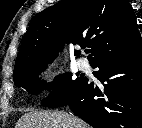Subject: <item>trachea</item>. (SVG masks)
Masks as SVG:
<instances>
[{
    "mask_svg": "<svg viewBox=\"0 0 142 128\" xmlns=\"http://www.w3.org/2000/svg\"><path fill=\"white\" fill-rule=\"evenodd\" d=\"M85 52H86V53H89V52H91V50L87 49V50H85Z\"/></svg>",
    "mask_w": 142,
    "mask_h": 128,
    "instance_id": "trachea-1",
    "label": "trachea"
}]
</instances>
